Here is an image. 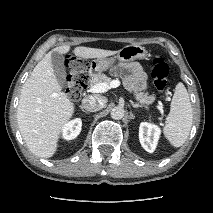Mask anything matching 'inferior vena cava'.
<instances>
[{
	"label": "inferior vena cava",
	"instance_id": "1",
	"mask_svg": "<svg viewBox=\"0 0 213 213\" xmlns=\"http://www.w3.org/2000/svg\"><path fill=\"white\" fill-rule=\"evenodd\" d=\"M107 103L105 97L88 96L82 100V107L90 112H96L104 108Z\"/></svg>",
	"mask_w": 213,
	"mask_h": 213
}]
</instances>
